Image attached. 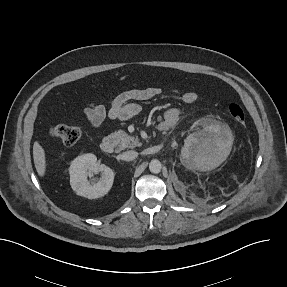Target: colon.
<instances>
[{
	"instance_id": "obj_1",
	"label": "colon",
	"mask_w": 287,
	"mask_h": 287,
	"mask_svg": "<svg viewBox=\"0 0 287 287\" xmlns=\"http://www.w3.org/2000/svg\"><path fill=\"white\" fill-rule=\"evenodd\" d=\"M230 117L239 124L245 122V112L238 103H231L228 106ZM53 138L60 140L65 145L75 144L83 135V129L77 125H54L50 130Z\"/></svg>"
}]
</instances>
